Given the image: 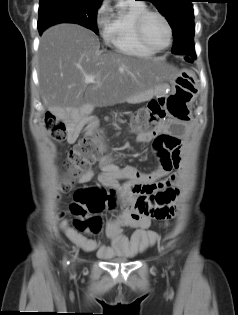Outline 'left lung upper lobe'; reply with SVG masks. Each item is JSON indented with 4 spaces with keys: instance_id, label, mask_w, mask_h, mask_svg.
I'll return each instance as SVG.
<instances>
[{
    "instance_id": "5c2ea615",
    "label": "left lung upper lobe",
    "mask_w": 238,
    "mask_h": 315,
    "mask_svg": "<svg viewBox=\"0 0 238 315\" xmlns=\"http://www.w3.org/2000/svg\"><path fill=\"white\" fill-rule=\"evenodd\" d=\"M152 2L169 22L173 37L183 36L193 43L195 25L191 0H147Z\"/></svg>"
}]
</instances>
